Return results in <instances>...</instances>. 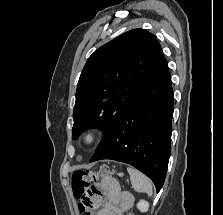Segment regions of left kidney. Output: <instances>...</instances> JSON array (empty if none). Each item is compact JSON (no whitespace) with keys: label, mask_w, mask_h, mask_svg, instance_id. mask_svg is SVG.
<instances>
[{"label":"left kidney","mask_w":223,"mask_h":215,"mask_svg":"<svg viewBox=\"0 0 223 215\" xmlns=\"http://www.w3.org/2000/svg\"><path fill=\"white\" fill-rule=\"evenodd\" d=\"M137 207L140 211H148L149 203L148 201H145V199H140L137 203Z\"/></svg>","instance_id":"5707ae66"}]
</instances>
